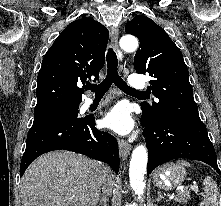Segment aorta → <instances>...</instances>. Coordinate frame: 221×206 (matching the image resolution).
I'll return each instance as SVG.
<instances>
[{
	"instance_id": "obj_1",
	"label": "aorta",
	"mask_w": 221,
	"mask_h": 206,
	"mask_svg": "<svg viewBox=\"0 0 221 206\" xmlns=\"http://www.w3.org/2000/svg\"><path fill=\"white\" fill-rule=\"evenodd\" d=\"M120 47L127 52L135 51L138 48V40L135 36L125 35L120 39ZM147 149L144 145L137 146L131 156L130 160V185L135 193L140 197L144 193L147 167Z\"/></svg>"
}]
</instances>
